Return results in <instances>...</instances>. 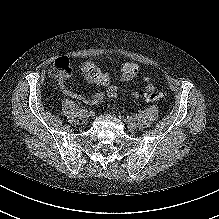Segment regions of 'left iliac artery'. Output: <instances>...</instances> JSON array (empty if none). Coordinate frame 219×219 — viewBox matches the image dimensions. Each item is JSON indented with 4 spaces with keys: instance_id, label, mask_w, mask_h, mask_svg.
I'll return each instance as SVG.
<instances>
[{
    "instance_id": "obj_1",
    "label": "left iliac artery",
    "mask_w": 219,
    "mask_h": 219,
    "mask_svg": "<svg viewBox=\"0 0 219 219\" xmlns=\"http://www.w3.org/2000/svg\"><path fill=\"white\" fill-rule=\"evenodd\" d=\"M127 118H130V119L135 121L137 119V116L133 115V116H130V117L128 116Z\"/></svg>"
}]
</instances>
